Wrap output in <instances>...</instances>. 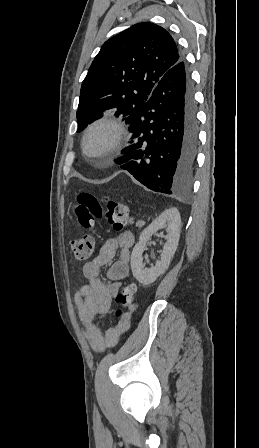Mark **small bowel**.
Segmentation results:
<instances>
[{
	"instance_id": "c3829d8e",
	"label": "small bowel",
	"mask_w": 259,
	"mask_h": 448,
	"mask_svg": "<svg viewBox=\"0 0 259 448\" xmlns=\"http://www.w3.org/2000/svg\"><path fill=\"white\" fill-rule=\"evenodd\" d=\"M134 236L131 232H122L109 238L101 246L97 256L85 263L82 269L86 284L75 294L74 301L78 314L85 327L84 335L91 349L96 353L114 347L120 336L130 327V313L121 319L115 326L109 327L104 333L95 324L100 314L109 312L112 299L119 293L122 281L129 273L131 248ZM118 253V259L114 260ZM110 263L107 271L108 283L100 280L101 269Z\"/></svg>"
}]
</instances>
